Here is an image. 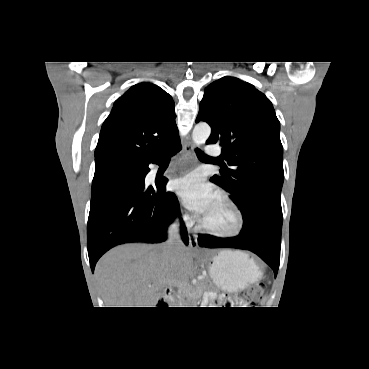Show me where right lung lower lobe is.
<instances>
[{"mask_svg": "<svg viewBox=\"0 0 369 369\" xmlns=\"http://www.w3.org/2000/svg\"><path fill=\"white\" fill-rule=\"evenodd\" d=\"M181 150L180 140L148 160L132 162L92 188L87 226L91 270L98 259L114 246L129 242L160 243L179 212L176 195L166 191L167 179L146 185L150 163L160 164ZM181 235L189 243L181 220Z\"/></svg>", "mask_w": 369, "mask_h": 369, "instance_id": "right-lung-lower-lobe-1", "label": "right lung lower lobe"}]
</instances>
